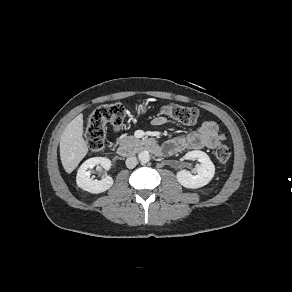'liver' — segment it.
I'll use <instances>...</instances> for the list:
<instances>
[{"mask_svg":"<svg viewBox=\"0 0 292 292\" xmlns=\"http://www.w3.org/2000/svg\"><path fill=\"white\" fill-rule=\"evenodd\" d=\"M83 115H77L64 129L60 140V159L67 173L79 165L88 152L83 138Z\"/></svg>","mask_w":292,"mask_h":292,"instance_id":"1","label":"liver"}]
</instances>
